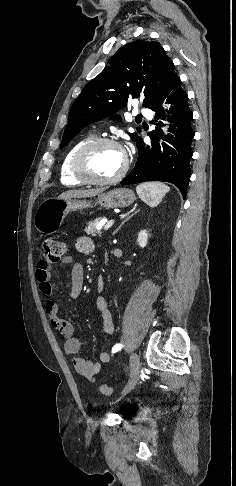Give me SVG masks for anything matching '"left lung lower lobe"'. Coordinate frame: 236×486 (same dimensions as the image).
I'll list each match as a JSON object with an SVG mask.
<instances>
[{
	"label": "left lung lower lobe",
	"instance_id": "1",
	"mask_svg": "<svg viewBox=\"0 0 236 486\" xmlns=\"http://www.w3.org/2000/svg\"><path fill=\"white\" fill-rule=\"evenodd\" d=\"M165 98L166 103L171 104L168 113L171 114L169 121L172 123L169 128L170 134L166 137L167 143L162 144V149L158 144V136L161 133L160 126H163V123L159 121L156 124L157 130L149 134L151 146H145L142 138L137 141L139 155L136 165L120 183L169 182L179 188L185 199L191 176L189 162L193 154L191 143L194 131L191 127L193 114L188 105V95L181 88L179 77L170 81L149 105L148 108L156 112L157 121L164 120V111L161 105Z\"/></svg>",
	"mask_w": 236,
	"mask_h": 486
}]
</instances>
